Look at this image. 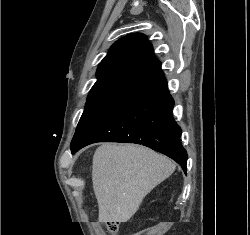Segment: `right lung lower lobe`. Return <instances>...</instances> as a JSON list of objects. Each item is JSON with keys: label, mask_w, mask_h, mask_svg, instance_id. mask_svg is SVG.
<instances>
[{"label": "right lung lower lobe", "mask_w": 250, "mask_h": 235, "mask_svg": "<svg viewBox=\"0 0 250 235\" xmlns=\"http://www.w3.org/2000/svg\"><path fill=\"white\" fill-rule=\"evenodd\" d=\"M173 105L162 74L71 145L72 153L95 142L136 143L172 158L186 171L188 156L172 115Z\"/></svg>", "instance_id": "obj_1"}]
</instances>
